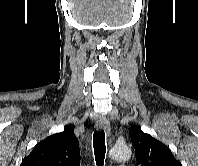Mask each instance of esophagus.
I'll return each mask as SVG.
<instances>
[{
	"instance_id": "esophagus-1",
	"label": "esophagus",
	"mask_w": 198,
	"mask_h": 166,
	"mask_svg": "<svg viewBox=\"0 0 198 166\" xmlns=\"http://www.w3.org/2000/svg\"><path fill=\"white\" fill-rule=\"evenodd\" d=\"M96 129L101 131L105 130L107 135L110 134V124L109 121L105 117H101L98 119L95 125Z\"/></svg>"
}]
</instances>
